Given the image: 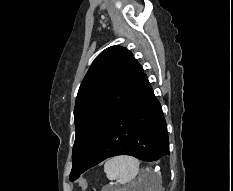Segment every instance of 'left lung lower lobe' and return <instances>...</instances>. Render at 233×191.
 <instances>
[{"label": "left lung lower lobe", "instance_id": "0a47b994", "mask_svg": "<svg viewBox=\"0 0 233 191\" xmlns=\"http://www.w3.org/2000/svg\"><path fill=\"white\" fill-rule=\"evenodd\" d=\"M169 139L161 105L155 97L146 74L117 111L79 174L103 160L130 155L144 161H155L168 155Z\"/></svg>", "mask_w": 233, "mask_h": 191}]
</instances>
